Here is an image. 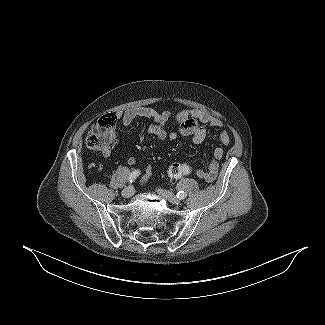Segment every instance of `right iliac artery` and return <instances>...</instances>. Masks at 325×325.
Instances as JSON below:
<instances>
[{
    "mask_svg": "<svg viewBox=\"0 0 325 325\" xmlns=\"http://www.w3.org/2000/svg\"><path fill=\"white\" fill-rule=\"evenodd\" d=\"M140 175L139 170H134L128 177V182L132 183Z\"/></svg>",
    "mask_w": 325,
    "mask_h": 325,
    "instance_id": "82829eb1",
    "label": "right iliac artery"
}]
</instances>
